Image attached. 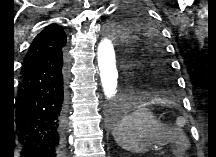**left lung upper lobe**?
Here are the masks:
<instances>
[{
  "instance_id": "1",
  "label": "left lung upper lobe",
  "mask_w": 216,
  "mask_h": 157,
  "mask_svg": "<svg viewBox=\"0 0 216 157\" xmlns=\"http://www.w3.org/2000/svg\"><path fill=\"white\" fill-rule=\"evenodd\" d=\"M149 18L146 10L126 6L107 23L106 31L115 38L128 89L175 98L178 84L159 25Z\"/></svg>"
}]
</instances>
